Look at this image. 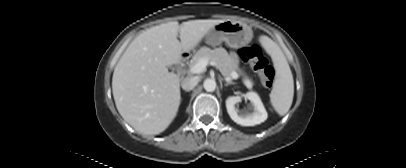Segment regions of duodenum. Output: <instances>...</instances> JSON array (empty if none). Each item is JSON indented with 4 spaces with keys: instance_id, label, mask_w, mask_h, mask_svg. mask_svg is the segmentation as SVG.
Listing matches in <instances>:
<instances>
[{
    "instance_id": "1",
    "label": "duodenum",
    "mask_w": 406,
    "mask_h": 168,
    "mask_svg": "<svg viewBox=\"0 0 406 168\" xmlns=\"http://www.w3.org/2000/svg\"><path fill=\"white\" fill-rule=\"evenodd\" d=\"M188 56H189V54L186 53V52H184V53L181 54V57H180L179 63H178L179 67H182V66H183V64H184L185 61L187 60Z\"/></svg>"
}]
</instances>
